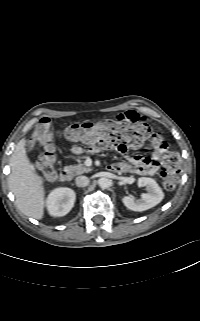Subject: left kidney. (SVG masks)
<instances>
[{
  "mask_svg": "<svg viewBox=\"0 0 200 321\" xmlns=\"http://www.w3.org/2000/svg\"><path fill=\"white\" fill-rule=\"evenodd\" d=\"M137 184L139 187H146L148 193L142 194L141 200H135L132 196H124L122 201L128 209L137 212L145 211L156 206L163 200L164 193L154 179L140 177Z\"/></svg>",
  "mask_w": 200,
  "mask_h": 321,
  "instance_id": "obj_1",
  "label": "left kidney"
}]
</instances>
